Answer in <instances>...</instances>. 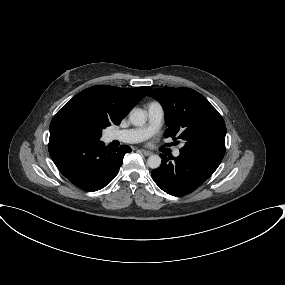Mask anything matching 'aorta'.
I'll use <instances>...</instances> for the list:
<instances>
[{"label":"aorta","mask_w":285,"mask_h":285,"mask_svg":"<svg viewBox=\"0 0 285 285\" xmlns=\"http://www.w3.org/2000/svg\"><path fill=\"white\" fill-rule=\"evenodd\" d=\"M129 120L134 126H143L147 121L146 113L141 109H133L130 112ZM162 159L159 155H151L148 158V166L151 169H157L160 167Z\"/></svg>","instance_id":"aorta-1"}]
</instances>
